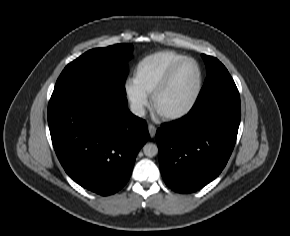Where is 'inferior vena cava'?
I'll return each instance as SVG.
<instances>
[{
	"mask_svg": "<svg viewBox=\"0 0 290 236\" xmlns=\"http://www.w3.org/2000/svg\"><path fill=\"white\" fill-rule=\"evenodd\" d=\"M130 110H131V112H132L134 115H136V116H138V117H143V116H145V109H144V107L141 106V105H138V104H131V106H130Z\"/></svg>",
	"mask_w": 290,
	"mask_h": 236,
	"instance_id": "obj_1",
	"label": "inferior vena cava"
}]
</instances>
